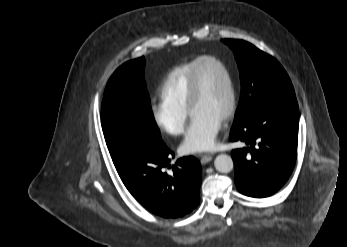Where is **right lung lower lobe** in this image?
Here are the masks:
<instances>
[{
    "mask_svg": "<svg viewBox=\"0 0 347 247\" xmlns=\"http://www.w3.org/2000/svg\"><path fill=\"white\" fill-rule=\"evenodd\" d=\"M174 156L164 143L153 148L136 138L123 140L111 153L128 191L146 209L164 218L182 217L200 202V163L190 156L170 166ZM166 167L171 171L167 172Z\"/></svg>",
    "mask_w": 347,
    "mask_h": 247,
    "instance_id": "98d812e1",
    "label": "right lung lower lobe"
}]
</instances>
